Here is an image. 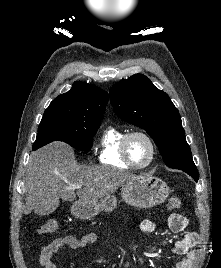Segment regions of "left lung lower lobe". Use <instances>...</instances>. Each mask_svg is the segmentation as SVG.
Masks as SVG:
<instances>
[{"label": "left lung lower lobe", "mask_w": 221, "mask_h": 268, "mask_svg": "<svg viewBox=\"0 0 221 268\" xmlns=\"http://www.w3.org/2000/svg\"><path fill=\"white\" fill-rule=\"evenodd\" d=\"M181 170H183L184 172H186L187 174H189L196 182L199 179V174H198V170L195 167H186V168H180Z\"/></svg>", "instance_id": "1"}]
</instances>
